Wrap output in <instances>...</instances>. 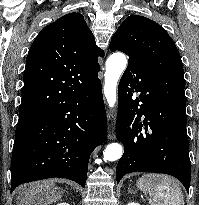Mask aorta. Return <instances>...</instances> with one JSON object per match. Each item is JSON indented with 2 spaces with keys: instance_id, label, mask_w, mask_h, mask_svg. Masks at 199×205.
<instances>
[{
  "instance_id": "762f6f07",
  "label": "aorta",
  "mask_w": 199,
  "mask_h": 205,
  "mask_svg": "<svg viewBox=\"0 0 199 205\" xmlns=\"http://www.w3.org/2000/svg\"><path fill=\"white\" fill-rule=\"evenodd\" d=\"M127 59L123 53H113L106 61L104 95L110 107L117 100L118 81L125 70ZM123 154V147L119 143L109 144L103 152L105 160H118Z\"/></svg>"
}]
</instances>
